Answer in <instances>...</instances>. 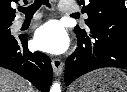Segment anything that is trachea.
<instances>
[{
  "label": "trachea",
  "mask_w": 127,
  "mask_h": 92,
  "mask_svg": "<svg viewBox=\"0 0 127 92\" xmlns=\"http://www.w3.org/2000/svg\"><path fill=\"white\" fill-rule=\"evenodd\" d=\"M41 5H46L50 7L48 0H35L29 7H20L19 11L24 13L26 17L33 16V14L41 7ZM72 16H79V14H71Z\"/></svg>",
  "instance_id": "obj_1"
}]
</instances>
